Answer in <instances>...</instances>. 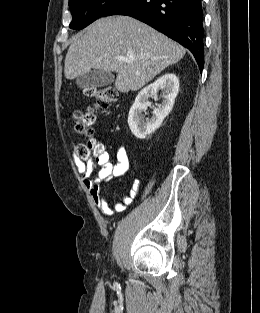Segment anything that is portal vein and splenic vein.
Here are the masks:
<instances>
[{
	"instance_id": "portal-vein-and-splenic-vein-1",
	"label": "portal vein and splenic vein",
	"mask_w": 260,
	"mask_h": 313,
	"mask_svg": "<svg viewBox=\"0 0 260 313\" xmlns=\"http://www.w3.org/2000/svg\"><path fill=\"white\" fill-rule=\"evenodd\" d=\"M120 60H124L126 61L127 63H131L133 60H134V57L133 56H129V57H126V58H119Z\"/></svg>"
}]
</instances>
